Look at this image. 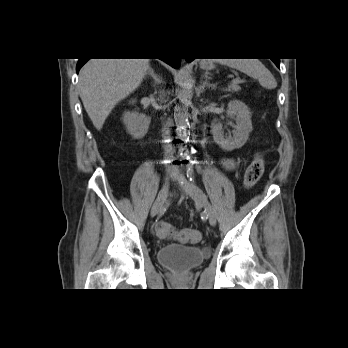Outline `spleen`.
Masks as SVG:
<instances>
[{
    "label": "spleen",
    "mask_w": 348,
    "mask_h": 348,
    "mask_svg": "<svg viewBox=\"0 0 348 348\" xmlns=\"http://www.w3.org/2000/svg\"><path fill=\"white\" fill-rule=\"evenodd\" d=\"M217 61L257 79L260 85L266 89L277 87L272 73L258 59H218Z\"/></svg>",
    "instance_id": "spleen-1"
}]
</instances>
